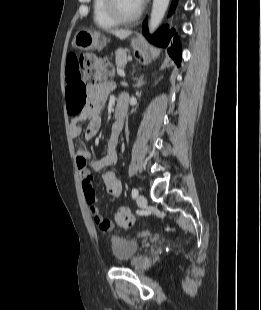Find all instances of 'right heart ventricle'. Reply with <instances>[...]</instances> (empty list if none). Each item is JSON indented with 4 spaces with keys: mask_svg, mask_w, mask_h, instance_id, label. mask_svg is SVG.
<instances>
[{
    "mask_svg": "<svg viewBox=\"0 0 261 310\" xmlns=\"http://www.w3.org/2000/svg\"><path fill=\"white\" fill-rule=\"evenodd\" d=\"M93 20L97 27L111 29L118 25L105 11L103 0H93Z\"/></svg>",
    "mask_w": 261,
    "mask_h": 310,
    "instance_id": "e07e8e85",
    "label": "right heart ventricle"
}]
</instances>
